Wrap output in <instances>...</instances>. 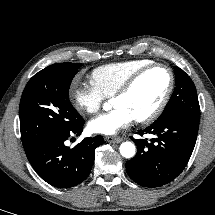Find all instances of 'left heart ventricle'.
<instances>
[{"label": "left heart ventricle", "instance_id": "left-heart-ventricle-1", "mask_svg": "<svg viewBox=\"0 0 215 215\" xmlns=\"http://www.w3.org/2000/svg\"><path fill=\"white\" fill-rule=\"evenodd\" d=\"M169 85V74L156 68L145 74L126 95L113 100V106L128 109L134 118L146 116L162 100Z\"/></svg>", "mask_w": 215, "mask_h": 215}]
</instances>
